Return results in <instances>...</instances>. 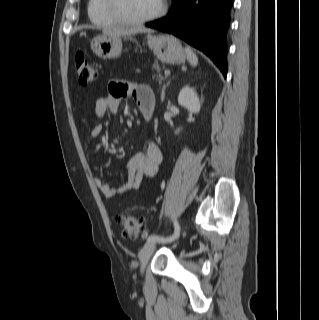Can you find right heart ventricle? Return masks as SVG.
Wrapping results in <instances>:
<instances>
[{
	"label": "right heart ventricle",
	"instance_id": "right-heart-ventricle-1",
	"mask_svg": "<svg viewBox=\"0 0 319 320\" xmlns=\"http://www.w3.org/2000/svg\"><path fill=\"white\" fill-rule=\"evenodd\" d=\"M88 15L90 20L97 26L108 27L119 24L107 13L105 0H89Z\"/></svg>",
	"mask_w": 319,
	"mask_h": 320
}]
</instances>
